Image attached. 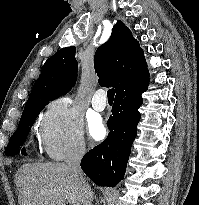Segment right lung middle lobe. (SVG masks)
Masks as SVG:
<instances>
[{
	"instance_id": "obj_1",
	"label": "right lung middle lobe",
	"mask_w": 199,
	"mask_h": 205,
	"mask_svg": "<svg viewBox=\"0 0 199 205\" xmlns=\"http://www.w3.org/2000/svg\"><path fill=\"white\" fill-rule=\"evenodd\" d=\"M49 101L51 100L40 99L31 101L25 105L18 129L10 138V141L5 149V155L15 156L19 152V148L23 145V142L25 141L36 117L43 110L44 106L49 103ZM21 152L25 153L24 148Z\"/></svg>"
}]
</instances>
